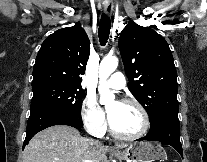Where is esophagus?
Listing matches in <instances>:
<instances>
[{
	"instance_id": "1",
	"label": "esophagus",
	"mask_w": 207,
	"mask_h": 162,
	"mask_svg": "<svg viewBox=\"0 0 207 162\" xmlns=\"http://www.w3.org/2000/svg\"><path fill=\"white\" fill-rule=\"evenodd\" d=\"M103 11H104L106 16L110 17L112 15V12H113L112 5L109 2H106L103 6Z\"/></svg>"
}]
</instances>
